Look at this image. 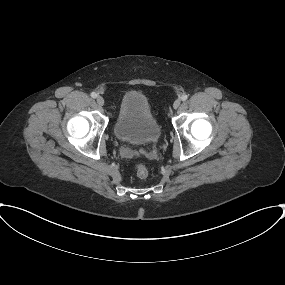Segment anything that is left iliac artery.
<instances>
[{
	"instance_id": "left-iliac-artery-1",
	"label": "left iliac artery",
	"mask_w": 285,
	"mask_h": 285,
	"mask_svg": "<svg viewBox=\"0 0 285 285\" xmlns=\"http://www.w3.org/2000/svg\"><path fill=\"white\" fill-rule=\"evenodd\" d=\"M187 98H188V96H187L186 94H183V95L181 96V100H182V101H186Z\"/></svg>"
}]
</instances>
